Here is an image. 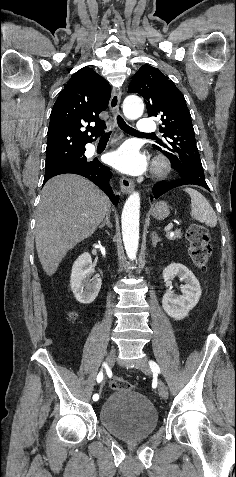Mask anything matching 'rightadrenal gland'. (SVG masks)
<instances>
[{
	"mask_svg": "<svg viewBox=\"0 0 236 477\" xmlns=\"http://www.w3.org/2000/svg\"><path fill=\"white\" fill-rule=\"evenodd\" d=\"M105 225H107L109 228H112V224L110 222V213L106 215L104 221L102 222V224L99 226V228H103Z\"/></svg>",
	"mask_w": 236,
	"mask_h": 477,
	"instance_id": "obj_1",
	"label": "right adrenal gland"
}]
</instances>
